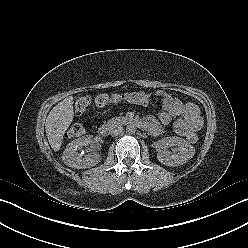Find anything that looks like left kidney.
<instances>
[{
    "instance_id": "left-kidney-1",
    "label": "left kidney",
    "mask_w": 248,
    "mask_h": 248,
    "mask_svg": "<svg viewBox=\"0 0 248 248\" xmlns=\"http://www.w3.org/2000/svg\"><path fill=\"white\" fill-rule=\"evenodd\" d=\"M169 146H176L178 148L177 154H172L168 151ZM158 147V160L166 166H179L190 160L194 154V147L189 144L185 139L173 136L164 137L157 143Z\"/></svg>"
}]
</instances>
